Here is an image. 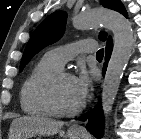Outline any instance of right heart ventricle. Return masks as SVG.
Here are the masks:
<instances>
[{"mask_svg": "<svg viewBox=\"0 0 141 139\" xmlns=\"http://www.w3.org/2000/svg\"><path fill=\"white\" fill-rule=\"evenodd\" d=\"M60 68L43 57L25 78L20 91V105L23 112L33 117H47L51 114L45 106L42 90L46 81Z\"/></svg>", "mask_w": 141, "mask_h": 139, "instance_id": "obj_1", "label": "right heart ventricle"}]
</instances>
